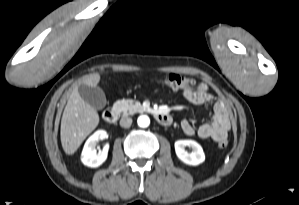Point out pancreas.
I'll list each match as a JSON object with an SVG mask.
<instances>
[{
    "mask_svg": "<svg viewBox=\"0 0 299 205\" xmlns=\"http://www.w3.org/2000/svg\"><path fill=\"white\" fill-rule=\"evenodd\" d=\"M113 107L122 112L123 115H133L135 113H142L145 111L144 107L139 102L133 100L122 99L114 103Z\"/></svg>",
    "mask_w": 299,
    "mask_h": 205,
    "instance_id": "1",
    "label": "pancreas"
}]
</instances>
